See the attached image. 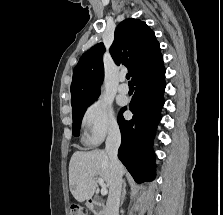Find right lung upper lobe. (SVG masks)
<instances>
[{
    "mask_svg": "<svg viewBox=\"0 0 223 215\" xmlns=\"http://www.w3.org/2000/svg\"><path fill=\"white\" fill-rule=\"evenodd\" d=\"M103 43L82 55L73 71L71 84L72 108L97 100L103 80ZM110 53L117 65L128 67L133 82L151 76L163 67V57L154 32L145 22L126 19L115 30Z\"/></svg>",
    "mask_w": 223,
    "mask_h": 215,
    "instance_id": "obj_1",
    "label": "right lung upper lobe"
}]
</instances>
